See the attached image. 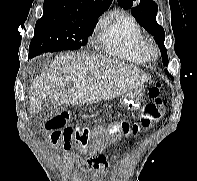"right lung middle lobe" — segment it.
I'll list each match as a JSON object with an SVG mask.
<instances>
[{
	"mask_svg": "<svg viewBox=\"0 0 197 181\" xmlns=\"http://www.w3.org/2000/svg\"><path fill=\"white\" fill-rule=\"evenodd\" d=\"M101 15L70 17L44 13L36 22L34 37L29 46V56L80 49L87 44Z\"/></svg>",
	"mask_w": 197,
	"mask_h": 181,
	"instance_id": "dd1d6c3e",
	"label": "right lung middle lobe"
}]
</instances>
